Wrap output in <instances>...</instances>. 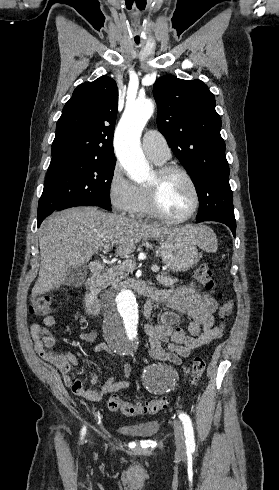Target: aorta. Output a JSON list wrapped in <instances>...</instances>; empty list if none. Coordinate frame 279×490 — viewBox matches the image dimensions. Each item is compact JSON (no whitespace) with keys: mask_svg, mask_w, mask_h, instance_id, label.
<instances>
[{"mask_svg":"<svg viewBox=\"0 0 279 490\" xmlns=\"http://www.w3.org/2000/svg\"><path fill=\"white\" fill-rule=\"evenodd\" d=\"M154 112L150 99L127 104L114 134L116 156L129 177L136 182L147 180L150 166L140 146V137ZM104 333L118 351L126 352L138 339L139 305L134 292L121 289L107 302Z\"/></svg>","mask_w":279,"mask_h":490,"instance_id":"aorta-1","label":"aorta"}]
</instances>
